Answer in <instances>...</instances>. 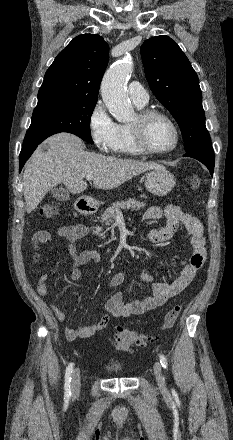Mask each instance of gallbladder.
I'll return each mask as SVG.
<instances>
[{
	"label": "gallbladder",
	"mask_w": 233,
	"mask_h": 440,
	"mask_svg": "<svg viewBox=\"0 0 233 440\" xmlns=\"http://www.w3.org/2000/svg\"><path fill=\"white\" fill-rule=\"evenodd\" d=\"M50 193L59 201H67L70 199V193L64 188L53 187L50 189Z\"/></svg>",
	"instance_id": "bac80fb5"
}]
</instances>
